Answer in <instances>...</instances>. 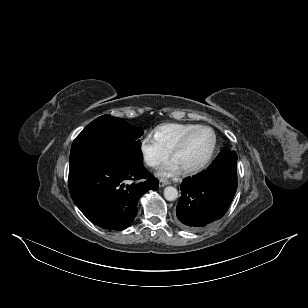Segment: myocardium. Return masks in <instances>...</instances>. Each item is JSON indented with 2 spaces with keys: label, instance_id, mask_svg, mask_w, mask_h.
Wrapping results in <instances>:
<instances>
[{
  "label": "myocardium",
  "instance_id": "f54148a6",
  "mask_svg": "<svg viewBox=\"0 0 308 308\" xmlns=\"http://www.w3.org/2000/svg\"><path fill=\"white\" fill-rule=\"evenodd\" d=\"M200 131L211 132V134L213 135V145H212V148H211L209 154L207 155V157L200 164H198L194 167H191V168L183 169V173L186 174V175L199 173L202 170H204L211 163V161H212V159H213V157L216 153L217 147H218V138H217L215 131L211 127H208V126H199L195 129L191 130L187 134H185L181 138V140L170 151V155L173 158L174 155L177 154L179 151H181L187 145V143L190 141V139Z\"/></svg>",
  "mask_w": 308,
  "mask_h": 308
}]
</instances>
